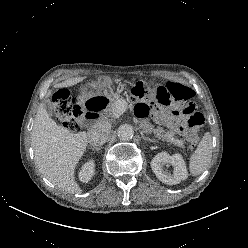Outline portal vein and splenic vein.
Segmentation results:
<instances>
[{
    "mask_svg": "<svg viewBox=\"0 0 248 248\" xmlns=\"http://www.w3.org/2000/svg\"><path fill=\"white\" fill-rule=\"evenodd\" d=\"M127 103L125 100H120L116 103L115 108L112 110L113 117H118L126 111Z\"/></svg>",
    "mask_w": 248,
    "mask_h": 248,
    "instance_id": "18ae733b",
    "label": "portal vein and splenic vein"
}]
</instances>
